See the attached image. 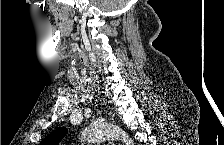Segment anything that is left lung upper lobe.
Wrapping results in <instances>:
<instances>
[{"instance_id":"1","label":"left lung upper lobe","mask_w":224,"mask_h":145,"mask_svg":"<svg viewBox=\"0 0 224 145\" xmlns=\"http://www.w3.org/2000/svg\"><path fill=\"white\" fill-rule=\"evenodd\" d=\"M66 128H58L49 134L41 143L42 145H57L61 139L66 135Z\"/></svg>"}]
</instances>
